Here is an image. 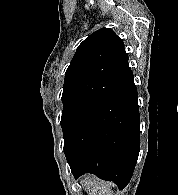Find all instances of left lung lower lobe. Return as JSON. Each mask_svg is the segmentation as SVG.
<instances>
[{
    "instance_id": "left-lung-lower-lobe-1",
    "label": "left lung lower lobe",
    "mask_w": 178,
    "mask_h": 195,
    "mask_svg": "<svg viewBox=\"0 0 178 195\" xmlns=\"http://www.w3.org/2000/svg\"><path fill=\"white\" fill-rule=\"evenodd\" d=\"M139 149L140 116L132 81L70 140L64 153L75 178L93 173L123 189L132 177Z\"/></svg>"
}]
</instances>
